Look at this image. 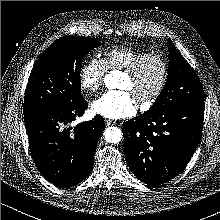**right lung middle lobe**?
<instances>
[{"label":"right lung middle lobe","mask_w":220,"mask_h":220,"mask_svg":"<svg viewBox=\"0 0 220 220\" xmlns=\"http://www.w3.org/2000/svg\"><path fill=\"white\" fill-rule=\"evenodd\" d=\"M101 43L88 37L65 36L53 42L34 64L23 110L70 108L81 103L80 70L84 57Z\"/></svg>","instance_id":"obj_1"}]
</instances>
